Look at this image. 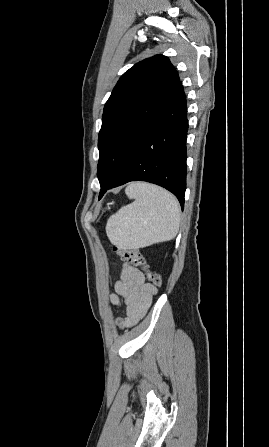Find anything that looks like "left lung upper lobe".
I'll list each match as a JSON object with an SVG mask.
<instances>
[{
  "label": "left lung upper lobe",
  "instance_id": "5c2ea615",
  "mask_svg": "<svg viewBox=\"0 0 269 447\" xmlns=\"http://www.w3.org/2000/svg\"><path fill=\"white\" fill-rule=\"evenodd\" d=\"M179 82L166 56L145 59L125 72L105 104L99 132L98 179L109 185L145 135L166 113Z\"/></svg>",
  "mask_w": 269,
  "mask_h": 447
}]
</instances>
